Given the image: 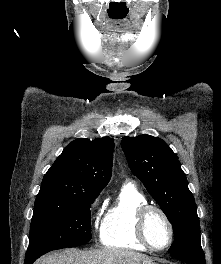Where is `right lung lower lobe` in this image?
<instances>
[{"label": "right lung lower lobe", "instance_id": "right-lung-lower-lobe-1", "mask_svg": "<svg viewBox=\"0 0 221 264\" xmlns=\"http://www.w3.org/2000/svg\"><path fill=\"white\" fill-rule=\"evenodd\" d=\"M39 257H40V255H36V256L29 257V258H25V263L24 264H32Z\"/></svg>", "mask_w": 221, "mask_h": 264}]
</instances>
